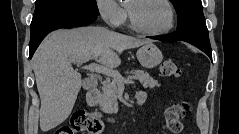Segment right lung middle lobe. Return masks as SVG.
Segmentation results:
<instances>
[{"mask_svg": "<svg viewBox=\"0 0 239 134\" xmlns=\"http://www.w3.org/2000/svg\"><path fill=\"white\" fill-rule=\"evenodd\" d=\"M67 10L99 15L96 0H36L31 27L54 13Z\"/></svg>", "mask_w": 239, "mask_h": 134, "instance_id": "dd1d6c3e", "label": "right lung middle lobe"}]
</instances>
